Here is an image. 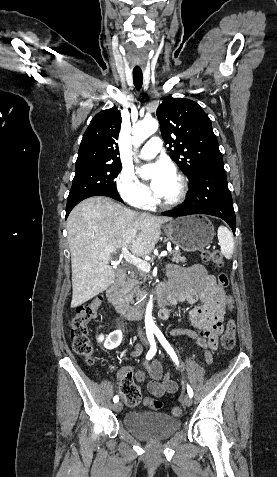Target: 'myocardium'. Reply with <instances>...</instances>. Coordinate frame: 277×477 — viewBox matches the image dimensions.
<instances>
[{
    "label": "myocardium",
    "mask_w": 277,
    "mask_h": 477,
    "mask_svg": "<svg viewBox=\"0 0 277 477\" xmlns=\"http://www.w3.org/2000/svg\"><path fill=\"white\" fill-rule=\"evenodd\" d=\"M176 179L179 183V193L178 195L172 199V200H168V201H165V200H159L158 203L160 204V206H162L163 208H167V209H170V208H175L179 205H181L186 197H187V194H188V182H187V179L181 175V174H177L176 176Z\"/></svg>",
    "instance_id": "f54148a6"
}]
</instances>
